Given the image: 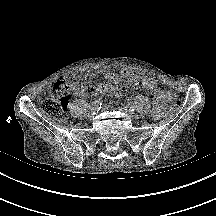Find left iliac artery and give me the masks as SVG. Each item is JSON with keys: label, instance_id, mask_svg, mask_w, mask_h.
<instances>
[{"label": "left iliac artery", "instance_id": "44dca946", "mask_svg": "<svg viewBox=\"0 0 216 216\" xmlns=\"http://www.w3.org/2000/svg\"><path fill=\"white\" fill-rule=\"evenodd\" d=\"M127 107H128V109H129L130 111H134V110L136 109V106H135L133 103H129V104L127 105Z\"/></svg>", "mask_w": 216, "mask_h": 216}]
</instances>
